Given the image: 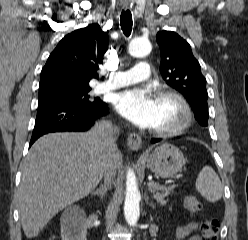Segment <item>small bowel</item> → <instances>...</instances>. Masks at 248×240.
Here are the masks:
<instances>
[{
    "label": "small bowel",
    "instance_id": "1",
    "mask_svg": "<svg viewBox=\"0 0 248 240\" xmlns=\"http://www.w3.org/2000/svg\"><path fill=\"white\" fill-rule=\"evenodd\" d=\"M197 227H198V224L196 222H191V223H188L186 225L179 226L176 229L175 237L177 239H182V238L194 233L195 230L197 229ZM191 240H201V237L198 234H195L192 236Z\"/></svg>",
    "mask_w": 248,
    "mask_h": 240
}]
</instances>
